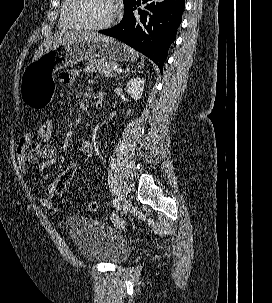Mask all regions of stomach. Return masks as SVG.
Returning <instances> with one entry per match:
<instances>
[{
  "label": "stomach",
  "mask_w": 272,
  "mask_h": 303,
  "mask_svg": "<svg viewBox=\"0 0 272 303\" xmlns=\"http://www.w3.org/2000/svg\"><path fill=\"white\" fill-rule=\"evenodd\" d=\"M89 58L114 62L133 61L137 54L125 44L109 37L61 44L25 67L20 84L24 104L29 108L47 105L54 89V74Z\"/></svg>",
  "instance_id": "stomach-1"
}]
</instances>
